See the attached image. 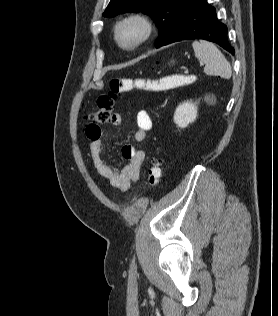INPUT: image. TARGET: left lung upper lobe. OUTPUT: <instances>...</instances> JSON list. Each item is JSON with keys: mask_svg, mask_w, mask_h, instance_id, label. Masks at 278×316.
Wrapping results in <instances>:
<instances>
[{"mask_svg": "<svg viewBox=\"0 0 278 316\" xmlns=\"http://www.w3.org/2000/svg\"><path fill=\"white\" fill-rule=\"evenodd\" d=\"M189 0H111L103 16L110 17L124 12L148 14L159 28L156 48L161 47L172 35Z\"/></svg>", "mask_w": 278, "mask_h": 316, "instance_id": "5c2ea615", "label": "left lung upper lobe"}]
</instances>
